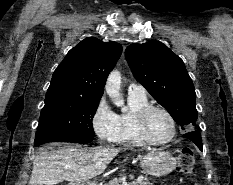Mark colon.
<instances>
[{
  "mask_svg": "<svg viewBox=\"0 0 233 185\" xmlns=\"http://www.w3.org/2000/svg\"><path fill=\"white\" fill-rule=\"evenodd\" d=\"M178 168L179 171L185 176H190L193 173L194 154L190 148L185 147L181 150L178 157Z\"/></svg>",
  "mask_w": 233,
  "mask_h": 185,
  "instance_id": "5ec220e1",
  "label": "colon"
}]
</instances>
